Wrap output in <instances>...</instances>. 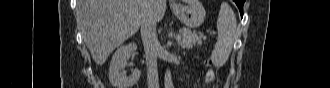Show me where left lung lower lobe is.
I'll list each match as a JSON object with an SVG mask.
<instances>
[{"instance_id":"obj_1","label":"left lung lower lobe","mask_w":330,"mask_h":88,"mask_svg":"<svg viewBox=\"0 0 330 88\" xmlns=\"http://www.w3.org/2000/svg\"><path fill=\"white\" fill-rule=\"evenodd\" d=\"M234 1L240 10L241 16H243V4H244L245 0H234Z\"/></svg>"}]
</instances>
